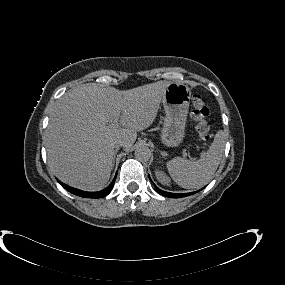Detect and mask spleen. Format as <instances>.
I'll return each instance as SVG.
<instances>
[{
  "mask_svg": "<svg viewBox=\"0 0 285 285\" xmlns=\"http://www.w3.org/2000/svg\"><path fill=\"white\" fill-rule=\"evenodd\" d=\"M224 134L217 132L214 141L201 158L190 161L175 157L166 163L168 172L174 182L187 189L200 188L208 184L216 172L224 151Z\"/></svg>",
  "mask_w": 285,
  "mask_h": 285,
  "instance_id": "obj_1",
  "label": "spleen"
}]
</instances>
